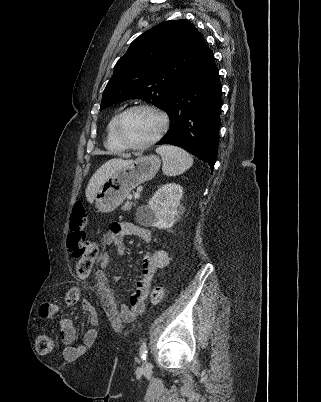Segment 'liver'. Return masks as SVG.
Returning a JSON list of instances; mask_svg holds the SVG:
<instances>
[{
	"label": "liver",
	"instance_id": "6515ba94",
	"mask_svg": "<svg viewBox=\"0 0 321 402\" xmlns=\"http://www.w3.org/2000/svg\"><path fill=\"white\" fill-rule=\"evenodd\" d=\"M132 163V160L114 158L104 163L91 177L86 188V197L89 202L94 200V194L98 188L116 171Z\"/></svg>",
	"mask_w": 321,
	"mask_h": 402
}]
</instances>
